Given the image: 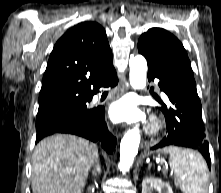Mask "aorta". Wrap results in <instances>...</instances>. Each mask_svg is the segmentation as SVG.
<instances>
[{
  "label": "aorta",
  "instance_id": "762f6f07",
  "mask_svg": "<svg viewBox=\"0 0 221 193\" xmlns=\"http://www.w3.org/2000/svg\"><path fill=\"white\" fill-rule=\"evenodd\" d=\"M130 84L136 90L146 87L147 62L142 55L130 57ZM140 144V131L134 127L127 131L120 143V161L118 167L123 173L128 172L138 153Z\"/></svg>",
  "mask_w": 221,
  "mask_h": 193
}]
</instances>
